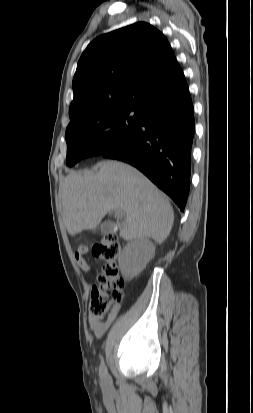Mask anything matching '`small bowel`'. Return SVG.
Wrapping results in <instances>:
<instances>
[{"mask_svg":"<svg viewBox=\"0 0 253 413\" xmlns=\"http://www.w3.org/2000/svg\"><path fill=\"white\" fill-rule=\"evenodd\" d=\"M88 252H89V248L85 245H81L77 248L76 252L74 253V259L77 265L83 271L90 270V266L85 259V256L88 254ZM119 311H120V305L116 304L111 308V310L105 316L96 317V316L90 315L88 317L89 327L97 338H100L107 331V329L111 326V324L116 319Z\"/></svg>","mask_w":253,"mask_h":413,"instance_id":"small-bowel-1","label":"small bowel"}]
</instances>
